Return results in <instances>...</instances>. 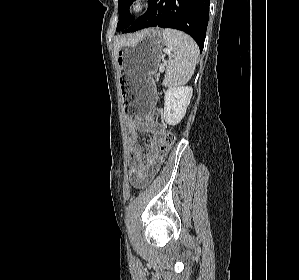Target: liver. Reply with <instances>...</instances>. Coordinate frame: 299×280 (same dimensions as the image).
Returning a JSON list of instances; mask_svg holds the SVG:
<instances>
[{
	"label": "liver",
	"instance_id": "obj_1",
	"mask_svg": "<svg viewBox=\"0 0 299 280\" xmlns=\"http://www.w3.org/2000/svg\"><path fill=\"white\" fill-rule=\"evenodd\" d=\"M130 41V39H126V38H121V39H117L114 44H113V47H114V55H115V58L117 59V54H118V51L120 50V48L128 43Z\"/></svg>",
	"mask_w": 299,
	"mask_h": 280
}]
</instances>
